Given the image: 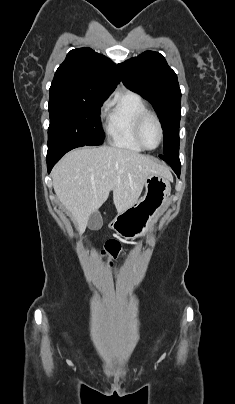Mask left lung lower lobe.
I'll list each match as a JSON object with an SVG mask.
<instances>
[{
	"label": "left lung lower lobe",
	"instance_id": "obj_1",
	"mask_svg": "<svg viewBox=\"0 0 235 404\" xmlns=\"http://www.w3.org/2000/svg\"><path fill=\"white\" fill-rule=\"evenodd\" d=\"M159 157L165 162H167L172 167L173 171L177 174V176L180 177L181 164L179 157H169L164 155H160Z\"/></svg>",
	"mask_w": 235,
	"mask_h": 404
}]
</instances>
